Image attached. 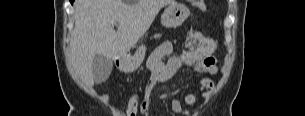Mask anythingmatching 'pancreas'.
<instances>
[{
    "label": "pancreas",
    "mask_w": 305,
    "mask_h": 116,
    "mask_svg": "<svg viewBox=\"0 0 305 116\" xmlns=\"http://www.w3.org/2000/svg\"><path fill=\"white\" fill-rule=\"evenodd\" d=\"M160 37H161L160 34H155V35H154V38H155V39H158V38H160Z\"/></svg>",
    "instance_id": "cf45deb5"
}]
</instances>
